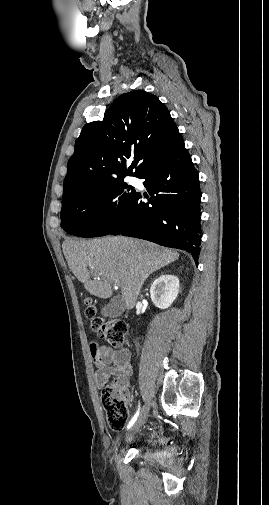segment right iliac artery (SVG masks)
<instances>
[{
  "instance_id": "1",
  "label": "right iliac artery",
  "mask_w": 269,
  "mask_h": 505,
  "mask_svg": "<svg viewBox=\"0 0 269 505\" xmlns=\"http://www.w3.org/2000/svg\"><path fill=\"white\" fill-rule=\"evenodd\" d=\"M139 413H140V404L138 406L137 412L135 413V415L130 420V422H129L128 426H127V429L131 428L134 425V423L136 422V420H137V418L139 416Z\"/></svg>"
}]
</instances>
